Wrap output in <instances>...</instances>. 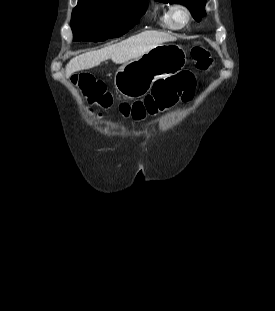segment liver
I'll return each mask as SVG.
<instances>
[{"label": "liver", "mask_w": 275, "mask_h": 311, "mask_svg": "<svg viewBox=\"0 0 275 311\" xmlns=\"http://www.w3.org/2000/svg\"><path fill=\"white\" fill-rule=\"evenodd\" d=\"M173 40L174 37L167 33L144 31L119 43L72 58L66 65V76L69 77L77 71L98 66L101 62L108 59H111L116 64L126 63L165 42Z\"/></svg>", "instance_id": "obj_1"}]
</instances>
